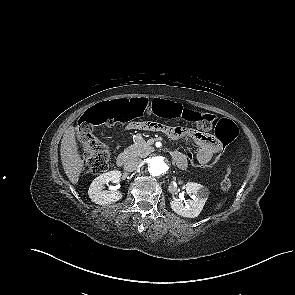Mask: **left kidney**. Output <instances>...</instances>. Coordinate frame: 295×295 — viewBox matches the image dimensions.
<instances>
[{"instance_id": "left-kidney-1", "label": "left kidney", "mask_w": 295, "mask_h": 295, "mask_svg": "<svg viewBox=\"0 0 295 295\" xmlns=\"http://www.w3.org/2000/svg\"><path fill=\"white\" fill-rule=\"evenodd\" d=\"M186 192L187 194H193L192 200L181 201L174 199L170 201V206L176 214L182 217L195 218L202 211L209 196V191L201 184L188 182Z\"/></svg>"}]
</instances>
